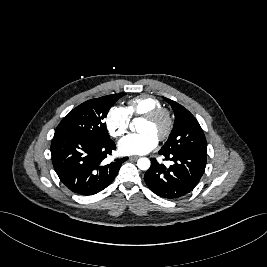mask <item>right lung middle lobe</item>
<instances>
[{"instance_id":"dd1d6c3e","label":"right lung middle lobe","mask_w":267,"mask_h":267,"mask_svg":"<svg viewBox=\"0 0 267 267\" xmlns=\"http://www.w3.org/2000/svg\"><path fill=\"white\" fill-rule=\"evenodd\" d=\"M125 93L88 100L70 111L55 130L54 137L109 139L104 123L111 106Z\"/></svg>"}]
</instances>
